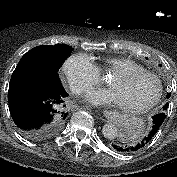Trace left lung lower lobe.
I'll use <instances>...</instances> for the list:
<instances>
[{
  "mask_svg": "<svg viewBox=\"0 0 177 177\" xmlns=\"http://www.w3.org/2000/svg\"><path fill=\"white\" fill-rule=\"evenodd\" d=\"M152 119H153L152 129L149 132V134L145 138H143L142 141H140L137 144H133V145H123V144L115 142L112 144V147L119 152L128 153V152H135L143 148L144 146H146L158 132L160 126L162 125L165 119V113L162 112V113L156 114L152 117Z\"/></svg>",
  "mask_w": 177,
  "mask_h": 177,
  "instance_id": "0a47b994",
  "label": "left lung lower lobe"
}]
</instances>
